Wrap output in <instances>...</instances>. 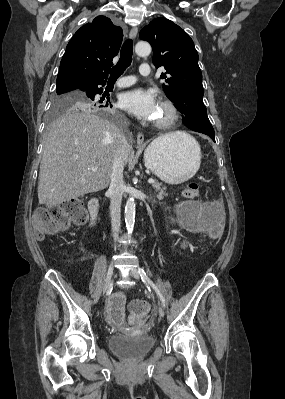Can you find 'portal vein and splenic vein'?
<instances>
[{"mask_svg":"<svg viewBox=\"0 0 285 399\" xmlns=\"http://www.w3.org/2000/svg\"><path fill=\"white\" fill-rule=\"evenodd\" d=\"M92 171H93V172L97 171V168H92ZM148 183H149V184H154V183H155V180H154V179H149V180H148Z\"/></svg>","mask_w":285,"mask_h":399,"instance_id":"18ae733b","label":"portal vein and splenic vein"}]
</instances>
